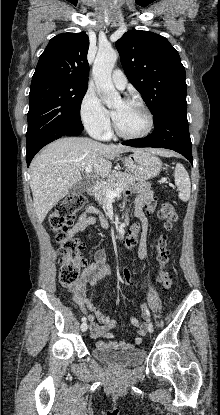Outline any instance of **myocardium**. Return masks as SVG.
<instances>
[{"mask_svg":"<svg viewBox=\"0 0 220 415\" xmlns=\"http://www.w3.org/2000/svg\"><path fill=\"white\" fill-rule=\"evenodd\" d=\"M123 102L128 103V104H133L136 106H139L140 108H142L144 110V112L147 115L148 118V126L145 129V131H143L142 133L139 134H127L125 132H123L117 125L116 120L114 119L113 122V127H114V131L115 133L119 136L122 137L124 139H141V138H145L147 137L149 134H151V132L154 129L155 126V117L153 112L151 111V109L140 99H136V98H125L123 100Z\"/></svg>","mask_w":220,"mask_h":415,"instance_id":"f54148a6","label":"myocardium"}]
</instances>
